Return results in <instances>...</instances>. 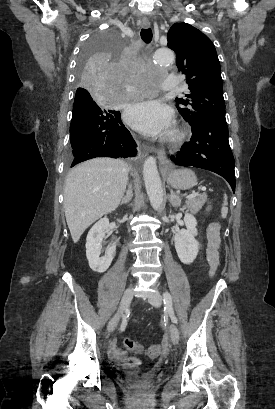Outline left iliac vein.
<instances>
[{"label": "left iliac vein", "mask_w": 275, "mask_h": 409, "mask_svg": "<svg viewBox=\"0 0 275 409\" xmlns=\"http://www.w3.org/2000/svg\"><path fill=\"white\" fill-rule=\"evenodd\" d=\"M147 299L154 307H160L163 301V298L159 293H151ZM169 333L172 343L177 345L179 342V329L174 323L170 324Z\"/></svg>", "instance_id": "4c4485c4"}]
</instances>
